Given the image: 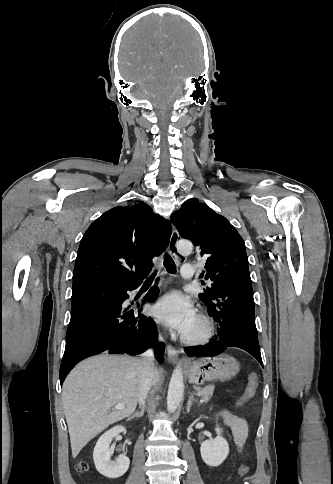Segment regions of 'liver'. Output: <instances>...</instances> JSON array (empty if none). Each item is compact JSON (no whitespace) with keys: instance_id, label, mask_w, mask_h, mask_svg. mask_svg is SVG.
Masks as SVG:
<instances>
[{"instance_id":"6515ba94","label":"liver","mask_w":333,"mask_h":484,"mask_svg":"<svg viewBox=\"0 0 333 484\" xmlns=\"http://www.w3.org/2000/svg\"><path fill=\"white\" fill-rule=\"evenodd\" d=\"M137 359L102 354L79 363L62 387L72 456L109 425L132 415L138 401ZM159 373L153 369V381ZM124 404V409L113 408Z\"/></svg>"}]
</instances>
